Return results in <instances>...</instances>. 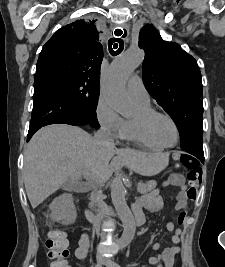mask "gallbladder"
I'll return each instance as SVG.
<instances>
[{"label":"gallbladder","mask_w":225,"mask_h":267,"mask_svg":"<svg viewBox=\"0 0 225 267\" xmlns=\"http://www.w3.org/2000/svg\"><path fill=\"white\" fill-rule=\"evenodd\" d=\"M64 190H75L78 186L72 181L68 180L61 186Z\"/></svg>","instance_id":"1"}]
</instances>
